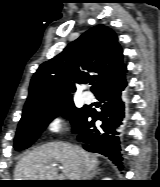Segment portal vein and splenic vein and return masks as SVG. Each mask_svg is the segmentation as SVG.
Masks as SVG:
<instances>
[{
  "instance_id": "1",
  "label": "portal vein and splenic vein",
  "mask_w": 160,
  "mask_h": 187,
  "mask_svg": "<svg viewBox=\"0 0 160 187\" xmlns=\"http://www.w3.org/2000/svg\"><path fill=\"white\" fill-rule=\"evenodd\" d=\"M60 179H61V180H65V177L61 175V176H60Z\"/></svg>"
}]
</instances>
